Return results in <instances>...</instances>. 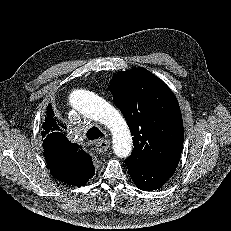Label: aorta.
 <instances>
[{
  "label": "aorta",
  "mask_w": 231,
  "mask_h": 231,
  "mask_svg": "<svg viewBox=\"0 0 231 231\" xmlns=\"http://www.w3.org/2000/svg\"><path fill=\"white\" fill-rule=\"evenodd\" d=\"M69 102L81 114L104 125L112 134L113 149L117 156L126 158L132 151L133 141L129 127L119 111L97 94L76 89Z\"/></svg>",
  "instance_id": "obj_1"
}]
</instances>
